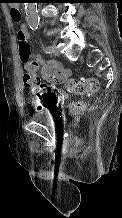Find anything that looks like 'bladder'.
Masks as SVG:
<instances>
[{"mask_svg": "<svg viewBox=\"0 0 122 218\" xmlns=\"http://www.w3.org/2000/svg\"><path fill=\"white\" fill-rule=\"evenodd\" d=\"M35 117H37V118L41 119L39 115H35ZM41 120H43V119H41Z\"/></svg>", "mask_w": 122, "mask_h": 218, "instance_id": "31cf9c89", "label": "bladder"}]
</instances>
